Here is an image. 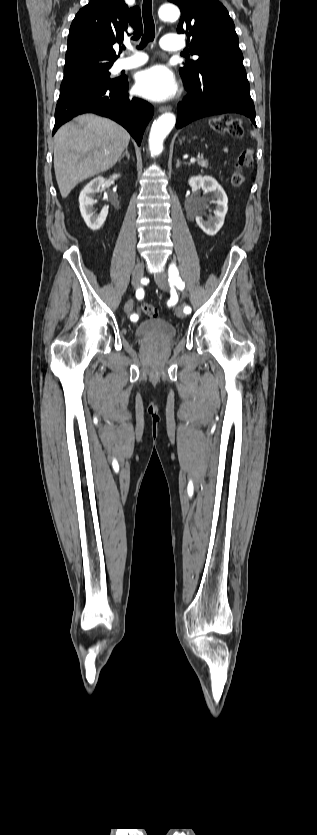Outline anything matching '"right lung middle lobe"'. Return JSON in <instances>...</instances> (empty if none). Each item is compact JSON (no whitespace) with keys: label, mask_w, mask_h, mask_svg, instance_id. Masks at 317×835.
Segmentation results:
<instances>
[{"label":"right lung middle lobe","mask_w":317,"mask_h":835,"mask_svg":"<svg viewBox=\"0 0 317 835\" xmlns=\"http://www.w3.org/2000/svg\"><path fill=\"white\" fill-rule=\"evenodd\" d=\"M113 62L98 57H84L77 62L65 63L64 78L60 90L86 83L111 80L108 70Z\"/></svg>","instance_id":"obj_1"}]
</instances>
